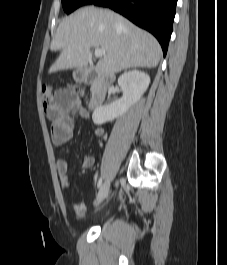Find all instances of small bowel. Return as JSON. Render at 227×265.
<instances>
[{
	"instance_id": "small-bowel-1",
	"label": "small bowel",
	"mask_w": 227,
	"mask_h": 265,
	"mask_svg": "<svg viewBox=\"0 0 227 265\" xmlns=\"http://www.w3.org/2000/svg\"><path fill=\"white\" fill-rule=\"evenodd\" d=\"M80 91H73V87H60V91H54V99L50 102H43L45 113L51 121V138L55 145H62L68 142L74 135V122L70 116L72 111H75L80 117L89 118V112L86 104H82V99H79ZM94 133L97 137L104 134V129L97 125ZM95 164V158L87 155L84 157L83 168H90ZM57 174L61 187L64 190L69 189L70 182L68 177V163L64 159H59L56 163ZM74 212L78 217H84L86 207L84 203L74 204Z\"/></svg>"
}]
</instances>
